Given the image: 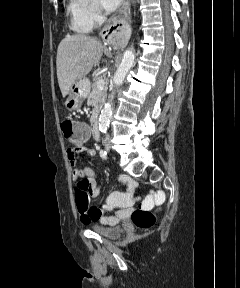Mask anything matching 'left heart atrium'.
I'll use <instances>...</instances> for the list:
<instances>
[{"label":"left heart atrium","mask_w":240,"mask_h":288,"mask_svg":"<svg viewBox=\"0 0 240 288\" xmlns=\"http://www.w3.org/2000/svg\"><path fill=\"white\" fill-rule=\"evenodd\" d=\"M122 0H100L101 4L107 11L114 10Z\"/></svg>","instance_id":"left-heart-atrium-1"}]
</instances>
